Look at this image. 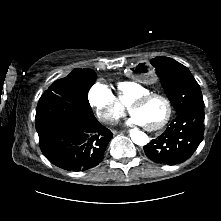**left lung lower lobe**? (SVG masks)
<instances>
[{"mask_svg":"<svg viewBox=\"0 0 221 221\" xmlns=\"http://www.w3.org/2000/svg\"><path fill=\"white\" fill-rule=\"evenodd\" d=\"M204 115L203 107L179 113L162 135L144 146L146 156L167 165L189 159L203 140Z\"/></svg>","mask_w":221,"mask_h":221,"instance_id":"obj_1","label":"left lung lower lobe"}]
</instances>
